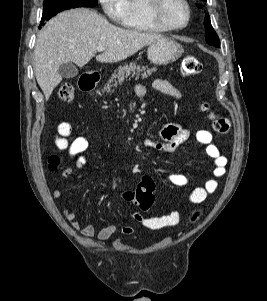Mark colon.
Segmentation results:
<instances>
[{"label": "colon", "instance_id": "5ec220e1", "mask_svg": "<svg viewBox=\"0 0 267 301\" xmlns=\"http://www.w3.org/2000/svg\"><path fill=\"white\" fill-rule=\"evenodd\" d=\"M180 70L182 75L193 77L201 72L202 65L195 56L185 55L182 58ZM58 96L62 101H71L74 97V87L69 83L62 84L59 88ZM201 108L208 113L216 132L222 135L228 132L230 124L226 118L214 114L207 103H203ZM59 163L60 159L58 156L53 155L49 158V167L51 169H56ZM154 189V180L150 176H143L134 192L135 202L142 210H148L152 206L154 202ZM198 215L199 212H195L191 219L195 220Z\"/></svg>", "mask_w": 267, "mask_h": 301}]
</instances>
